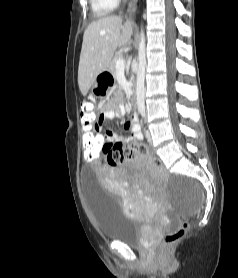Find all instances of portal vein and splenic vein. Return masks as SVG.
<instances>
[{
  "instance_id": "1",
  "label": "portal vein and splenic vein",
  "mask_w": 238,
  "mask_h": 278,
  "mask_svg": "<svg viewBox=\"0 0 238 278\" xmlns=\"http://www.w3.org/2000/svg\"><path fill=\"white\" fill-rule=\"evenodd\" d=\"M125 68V60L123 58H120L117 62H116V69L117 70H122Z\"/></svg>"
}]
</instances>
